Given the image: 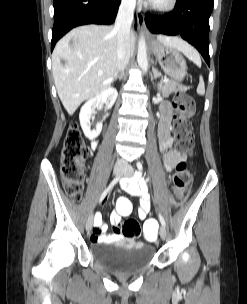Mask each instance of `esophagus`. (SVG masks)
I'll return each instance as SVG.
<instances>
[{"mask_svg": "<svg viewBox=\"0 0 247 304\" xmlns=\"http://www.w3.org/2000/svg\"><path fill=\"white\" fill-rule=\"evenodd\" d=\"M137 24H138L139 29L141 31H143L146 34V36H148V37L151 36V33L148 31V29L145 26V15H144V13H142V12L137 13Z\"/></svg>", "mask_w": 247, "mask_h": 304, "instance_id": "34e87169", "label": "esophagus"}]
</instances>
